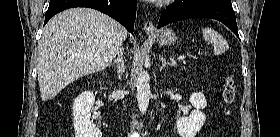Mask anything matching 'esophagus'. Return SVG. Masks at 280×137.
<instances>
[{
  "instance_id": "34e87169",
  "label": "esophagus",
  "mask_w": 280,
  "mask_h": 137,
  "mask_svg": "<svg viewBox=\"0 0 280 137\" xmlns=\"http://www.w3.org/2000/svg\"><path fill=\"white\" fill-rule=\"evenodd\" d=\"M144 31L147 34H154L156 32L155 26L152 21H146L144 24Z\"/></svg>"
}]
</instances>
